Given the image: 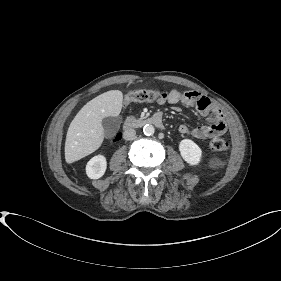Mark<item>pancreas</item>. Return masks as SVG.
<instances>
[{
  "instance_id": "1",
  "label": "pancreas",
  "mask_w": 281,
  "mask_h": 281,
  "mask_svg": "<svg viewBox=\"0 0 281 281\" xmlns=\"http://www.w3.org/2000/svg\"><path fill=\"white\" fill-rule=\"evenodd\" d=\"M133 120H135L133 117H128V118L126 119V123H130V122L133 121Z\"/></svg>"
}]
</instances>
